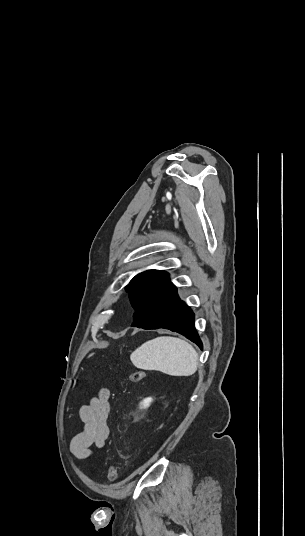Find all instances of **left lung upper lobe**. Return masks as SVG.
Masks as SVG:
<instances>
[{"label":"left lung upper lobe","instance_id":"1","mask_svg":"<svg viewBox=\"0 0 305 536\" xmlns=\"http://www.w3.org/2000/svg\"><path fill=\"white\" fill-rule=\"evenodd\" d=\"M170 283L164 271L148 270L136 275L126 287L134 310Z\"/></svg>","mask_w":305,"mask_h":536}]
</instances>
